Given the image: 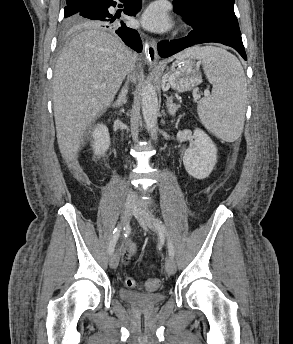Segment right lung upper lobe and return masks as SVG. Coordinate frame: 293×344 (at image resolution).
Returning <instances> with one entry per match:
<instances>
[{
    "label": "right lung upper lobe",
    "mask_w": 293,
    "mask_h": 344,
    "mask_svg": "<svg viewBox=\"0 0 293 344\" xmlns=\"http://www.w3.org/2000/svg\"><path fill=\"white\" fill-rule=\"evenodd\" d=\"M89 0H67V5H72V4H78V3H83Z\"/></svg>",
    "instance_id": "cb5924a9"
}]
</instances>
